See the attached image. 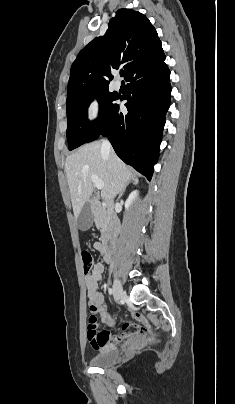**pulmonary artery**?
<instances>
[{
  "mask_svg": "<svg viewBox=\"0 0 235 404\" xmlns=\"http://www.w3.org/2000/svg\"><path fill=\"white\" fill-rule=\"evenodd\" d=\"M121 88V83L118 81V80H116L115 82H114V89L115 90H119Z\"/></svg>",
  "mask_w": 235,
  "mask_h": 404,
  "instance_id": "e3ab8cb5",
  "label": "pulmonary artery"
}]
</instances>
